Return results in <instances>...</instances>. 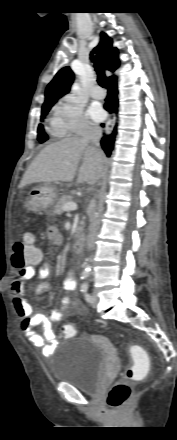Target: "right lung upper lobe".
I'll return each instance as SVG.
<instances>
[{
    "mask_svg": "<svg viewBox=\"0 0 177 440\" xmlns=\"http://www.w3.org/2000/svg\"><path fill=\"white\" fill-rule=\"evenodd\" d=\"M92 53H98L104 62L106 70L114 72L119 67L117 48L112 46V39L105 33L100 34V42ZM112 76L108 77L110 79ZM74 80V73L70 67L62 68L48 84L45 92V102H56L60 97L67 94Z\"/></svg>",
    "mask_w": 177,
    "mask_h": 440,
    "instance_id": "obj_1",
    "label": "right lung upper lobe"
}]
</instances>
